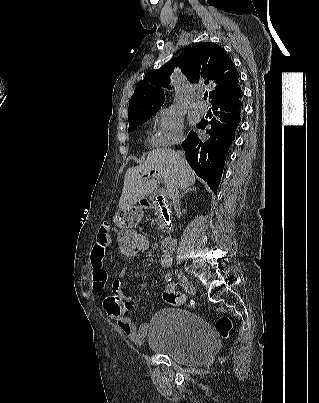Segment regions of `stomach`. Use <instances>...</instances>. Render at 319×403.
Returning <instances> with one entry per match:
<instances>
[{"mask_svg": "<svg viewBox=\"0 0 319 403\" xmlns=\"http://www.w3.org/2000/svg\"><path fill=\"white\" fill-rule=\"evenodd\" d=\"M112 218L115 228L128 229L142 223V212L139 208L130 207L125 210H113Z\"/></svg>", "mask_w": 319, "mask_h": 403, "instance_id": "stomach-1", "label": "stomach"}]
</instances>
